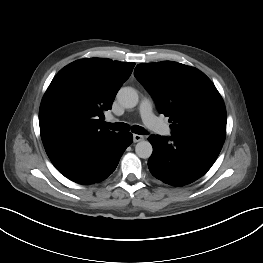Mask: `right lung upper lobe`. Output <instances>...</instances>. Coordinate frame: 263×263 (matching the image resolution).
<instances>
[{"label": "right lung upper lobe", "mask_w": 263, "mask_h": 263, "mask_svg": "<svg viewBox=\"0 0 263 263\" xmlns=\"http://www.w3.org/2000/svg\"><path fill=\"white\" fill-rule=\"evenodd\" d=\"M135 63L89 58L61 69L50 83L39 110L40 133L50 159L87 142L113 135L102 126L103 112L129 78Z\"/></svg>", "instance_id": "cb5924a9"}]
</instances>
